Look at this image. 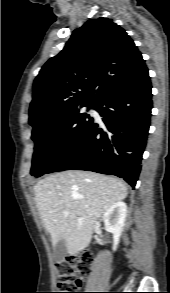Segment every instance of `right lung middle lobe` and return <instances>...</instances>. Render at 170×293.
I'll list each match as a JSON object with an SVG mask.
<instances>
[{
  "label": "right lung middle lobe",
  "instance_id": "right-lung-middle-lobe-1",
  "mask_svg": "<svg viewBox=\"0 0 170 293\" xmlns=\"http://www.w3.org/2000/svg\"><path fill=\"white\" fill-rule=\"evenodd\" d=\"M94 108L95 105H81ZM93 119L75 107L45 124L33 128L35 141L31 174L39 177L52 167L58 158L72 145Z\"/></svg>",
  "mask_w": 170,
  "mask_h": 293
}]
</instances>
